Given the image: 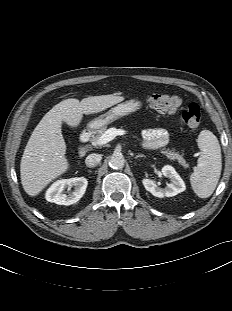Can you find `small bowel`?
<instances>
[{
    "label": "small bowel",
    "instance_id": "obj_1",
    "mask_svg": "<svg viewBox=\"0 0 232 311\" xmlns=\"http://www.w3.org/2000/svg\"><path fill=\"white\" fill-rule=\"evenodd\" d=\"M144 146L149 149H157L168 141V132L162 128H149L143 131Z\"/></svg>",
    "mask_w": 232,
    "mask_h": 311
}]
</instances>
